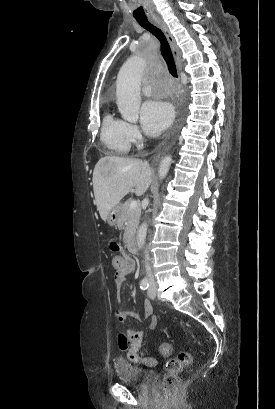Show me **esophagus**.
I'll list each match as a JSON object with an SVG mask.
<instances>
[{
    "mask_svg": "<svg viewBox=\"0 0 275 409\" xmlns=\"http://www.w3.org/2000/svg\"><path fill=\"white\" fill-rule=\"evenodd\" d=\"M150 20L157 27H159L160 30H162V32L164 33V35L167 38V40L169 42V45L171 47L172 54H173V56H174V58L176 60L178 70H181L182 65H181L180 52H179V49H178V47H177V45L175 43V40H174L173 36L171 35L166 23L160 17H153ZM153 160H157V156H155Z\"/></svg>",
    "mask_w": 275,
    "mask_h": 409,
    "instance_id": "1",
    "label": "esophagus"
}]
</instances>
